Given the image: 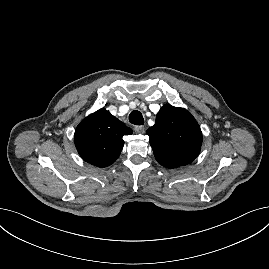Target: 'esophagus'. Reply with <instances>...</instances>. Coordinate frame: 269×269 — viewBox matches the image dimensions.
<instances>
[{"mask_svg": "<svg viewBox=\"0 0 269 269\" xmlns=\"http://www.w3.org/2000/svg\"><path fill=\"white\" fill-rule=\"evenodd\" d=\"M134 130L136 133L143 134L145 132V127L144 126H135Z\"/></svg>", "mask_w": 269, "mask_h": 269, "instance_id": "obj_1", "label": "esophagus"}]
</instances>
